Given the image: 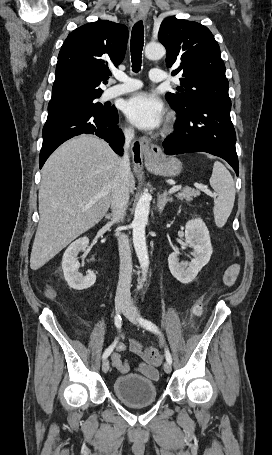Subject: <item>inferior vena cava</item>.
Returning a JSON list of instances; mask_svg holds the SVG:
<instances>
[{"label": "inferior vena cava", "mask_w": 272, "mask_h": 455, "mask_svg": "<svg viewBox=\"0 0 272 455\" xmlns=\"http://www.w3.org/2000/svg\"><path fill=\"white\" fill-rule=\"evenodd\" d=\"M124 135V156L120 159L119 167L113 181L111 195L112 221L116 223L123 220L129 201V178L131 170L128 150L130 148V143L134 138V130L132 128L126 129ZM118 248L120 256V274L116 296L129 298L132 279V258L129 240L125 234L118 233Z\"/></svg>", "instance_id": "602c4592"}]
</instances>
